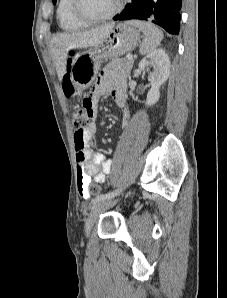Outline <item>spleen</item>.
Returning <instances> with one entry per match:
<instances>
[{
    "label": "spleen",
    "instance_id": "3e777b00",
    "mask_svg": "<svg viewBox=\"0 0 227 298\" xmlns=\"http://www.w3.org/2000/svg\"><path fill=\"white\" fill-rule=\"evenodd\" d=\"M128 23L137 27L144 34V40L139 50L142 55L154 51L163 39V32L152 23L138 20L129 21Z\"/></svg>",
    "mask_w": 227,
    "mask_h": 298
}]
</instances>
